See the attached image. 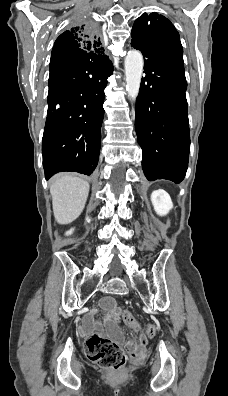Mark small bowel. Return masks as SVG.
Masks as SVG:
<instances>
[{
	"label": "small bowel",
	"mask_w": 228,
	"mask_h": 396,
	"mask_svg": "<svg viewBox=\"0 0 228 396\" xmlns=\"http://www.w3.org/2000/svg\"><path fill=\"white\" fill-rule=\"evenodd\" d=\"M102 309L104 310V327L117 340L123 342L128 352L133 356H137V349L142 351L147 344V337L142 334L139 338L137 346L133 340L126 339L117 325V320L121 314L120 308L112 298H106L102 301ZM92 327L90 319L85 321L83 332H87Z\"/></svg>",
	"instance_id": "obj_1"
}]
</instances>
